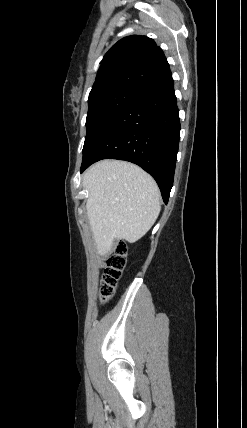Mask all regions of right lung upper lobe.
Here are the masks:
<instances>
[{
	"instance_id": "right-lung-upper-lobe-1",
	"label": "right lung upper lobe",
	"mask_w": 247,
	"mask_h": 428,
	"mask_svg": "<svg viewBox=\"0 0 247 428\" xmlns=\"http://www.w3.org/2000/svg\"><path fill=\"white\" fill-rule=\"evenodd\" d=\"M169 72L164 53L153 39L128 36L105 54L90 94L112 88L141 92Z\"/></svg>"
}]
</instances>
